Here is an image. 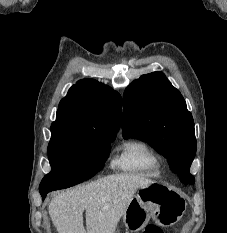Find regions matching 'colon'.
Segmentation results:
<instances>
[{
    "label": "colon",
    "mask_w": 227,
    "mask_h": 233,
    "mask_svg": "<svg viewBox=\"0 0 227 233\" xmlns=\"http://www.w3.org/2000/svg\"><path fill=\"white\" fill-rule=\"evenodd\" d=\"M143 233H163V231L157 226L149 225L144 229Z\"/></svg>",
    "instance_id": "1"
}]
</instances>
